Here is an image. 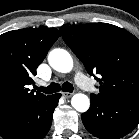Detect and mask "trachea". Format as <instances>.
Wrapping results in <instances>:
<instances>
[{"instance_id":"3493384b","label":"trachea","mask_w":139,"mask_h":139,"mask_svg":"<svg viewBox=\"0 0 139 139\" xmlns=\"http://www.w3.org/2000/svg\"><path fill=\"white\" fill-rule=\"evenodd\" d=\"M62 89V91L65 92H73V85L69 82H65L60 86L58 83H51L48 87H37V90L40 92H44L46 94H52L59 92Z\"/></svg>"}]
</instances>
